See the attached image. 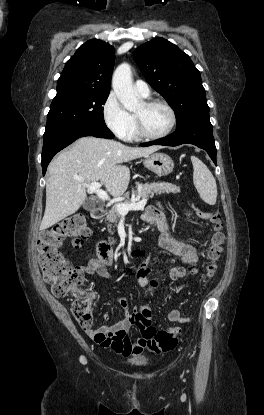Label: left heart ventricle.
<instances>
[{
    "instance_id": "obj_1",
    "label": "left heart ventricle",
    "mask_w": 264,
    "mask_h": 415,
    "mask_svg": "<svg viewBox=\"0 0 264 415\" xmlns=\"http://www.w3.org/2000/svg\"><path fill=\"white\" fill-rule=\"evenodd\" d=\"M135 115L141 118L145 131L152 135L164 132L171 120L169 112L160 105L147 107L143 103Z\"/></svg>"
}]
</instances>
